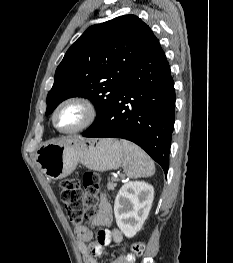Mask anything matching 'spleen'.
<instances>
[{"instance_id":"1","label":"spleen","mask_w":233,"mask_h":263,"mask_svg":"<svg viewBox=\"0 0 233 263\" xmlns=\"http://www.w3.org/2000/svg\"><path fill=\"white\" fill-rule=\"evenodd\" d=\"M120 142L125 152L123 169L128 177H148L155 173L154 162L141 148L127 140Z\"/></svg>"}]
</instances>
